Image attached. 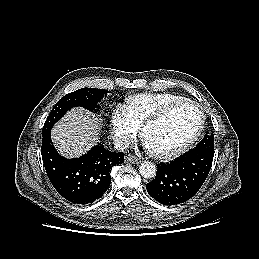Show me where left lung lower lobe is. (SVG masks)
Instances as JSON below:
<instances>
[{
  "mask_svg": "<svg viewBox=\"0 0 259 259\" xmlns=\"http://www.w3.org/2000/svg\"><path fill=\"white\" fill-rule=\"evenodd\" d=\"M214 153L192 149L168 163L158 164L155 179L146 188L163 205L189 200L201 188L212 166Z\"/></svg>",
  "mask_w": 259,
  "mask_h": 259,
  "instance_id": "1",
  "label": "left lung lower lobe"
}]
</instances>
